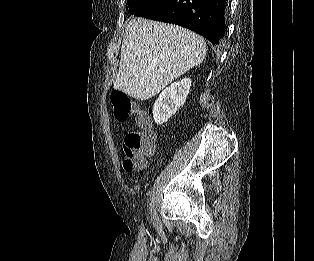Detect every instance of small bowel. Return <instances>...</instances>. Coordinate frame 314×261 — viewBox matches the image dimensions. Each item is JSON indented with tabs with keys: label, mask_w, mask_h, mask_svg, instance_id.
<instances>
[{
	"label": "small bowel",
	"mask_w": 314,
	"mask_h": 261,
	"mask_svg": "<svg viewBox=\"0 0 314 261\" xmlns=\"http://www.w3.org/2000/svg\"><path fill=\"white\" fill-rule=\"evenodd\" d=\"M149 127H150V124H149ZM146 166H147V158H146V156H144L143 159H142V163H141V165L138 168L139 169H144V168H146Z\"/></svg>",
	"instance_id": "obj_1"
}]
</instances>
